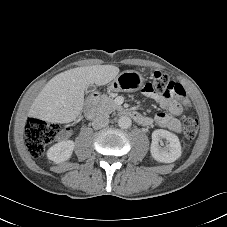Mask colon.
<instances>
[{
	"label": "colon",
	"mask_w": 227,
	"mask_h": 227,
	"mask_svg": "<svg viewBox=\"0 0 227 227\" xmlns=\"http://www.w3.org/2000/svg\"><path fill=\"white\" fill-rule=\"evenodd\" d=\"M155 87V94L163 95L165 91H172L182 100L185 107L190 108L191 103L186 96L184 88L180 84L170 81L168 75L161 71H155L151 75V81ZM199 129V121L195 117H187L183 122L184 136L192 140ZM62 134V128L55 123H48L37 118H29L25 126L26 147L33 158L43 155L47 144Z\"/></svg>",
	"instance_id": "5ec220e1"
}]
</instances>
